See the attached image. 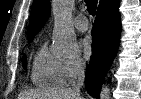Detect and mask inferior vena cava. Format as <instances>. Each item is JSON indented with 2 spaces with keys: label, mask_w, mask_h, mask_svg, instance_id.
<instances>
[{
  "label": "inferior vena cava",
  "mask_w": 141,
  "mask_h": 99,
  "mask_svg": "<svg viewBox=\"0 0 141 99\" xmlns=\"http://www.w3.org/2000/svg\"><path fill=\"white\" fill-rule=\"evenodd\" d=\"M76 76H77V83L74 88L76 90H80V88L84 85V79H85V71H84V66L82 64H78L76 66Z\"/></svg>",
  "instance_id": "inferior-vena-cava-1"
}]
</instances>
